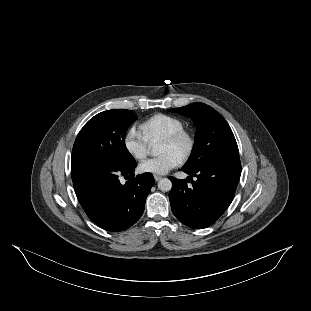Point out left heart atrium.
I'll return each mask as SVG.
<instances>
[{
    "mask_svg": "<svg viewBox=\"0 0 311 311\" xmlns=\"http://www.w3.org/2000/svg\"><path fill=\"white\" fill-rule=\"evenodd\" d=\"M181 164V157L175 152H167L158 157L148 159L139 165L145 174L163 176Z\"/></svg>",
    "mask_w": 311,
    "mask_h": 311,
    "instance_id": "39dd6f15",
    "label": "left heart atrium"
}]
</instances>
